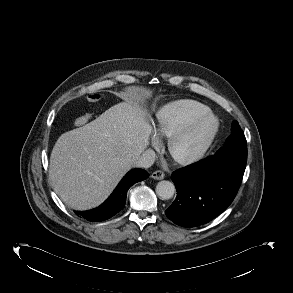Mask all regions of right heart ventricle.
<instances>
[{"label": "right heart ventricle", "instance_id": "1", "mask_svg": "<svg viewBox=\"0 0 293 293\" xmlns=\"http://www.w3.org/2000/svg\"><path fill=\"white\" fill-rule=\"evenodd\" d=\"M209 112V108L195 100L182 99L170 102L156 113L155 132L171 137L193 118Z\"/></svg>", "mask_w": 293, "mask_h": 293}]
</instances>
